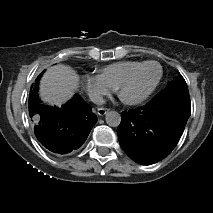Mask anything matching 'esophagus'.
Segmentation results:
<instances>
[{
	"mask_svg": "<svg viewBox=\"0 0 213 213\" xmlns=\"http://www.w3.org/2000/svg\"><path fill=\"white\" fill-rule=\"evenodd\" d=\"M108 111H109V109L102 108V107L97 109V113L99 116H104Z\"/></svg>",
	"mask_w": 213,
	"mask_h": 213,
	"instance_id": "1",
	"label": "esophagus"
}]
</instances>
